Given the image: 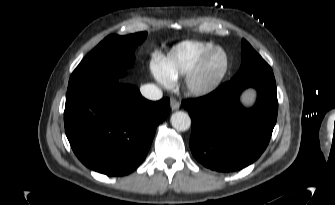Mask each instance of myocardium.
I'll use <instances>...</instances> for the list:
<instances>
[{"label": "myocardium", "instance_id": "f54148a6", "mask_svg": "<svg viewBox=\"0 0 335 205\" xmlns=\"http://www.w3.org/2000/svg\"><path fill=\"white\" fill-rule=\"evenodd\" d=\"M218 53L222 54L224 58L223 67L215 77L206 80L204 79V73L208 66V63L211 58ZM229 68L230 58L227 51L220 46L213 47L205 54H203V56L198 60L196 65L187 74L186 86L189 92L195 96H206L212 93L220 86V84L226 77Z\"/></svg>", "mask_w": 335, "mask_h": 205}]
</instances>
